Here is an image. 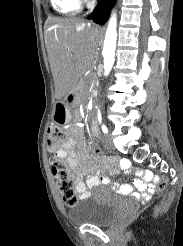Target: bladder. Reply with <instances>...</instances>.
<instances>
[{"label": "bladder", "instance_id": "bladder-1", "mask_svg": "<svg viewBox=\"0 0 183 246\" xmlns=\"http://www.w3.org/2000/svg\"><path fill=\"white\" fill-rule=\"evenodd\" d=\"M117 211V199L112 191L98 186L69 211V218L78 225H108Z\"/></svg>", "mask_w": 183, "mask_h": 246}]
</instances>
